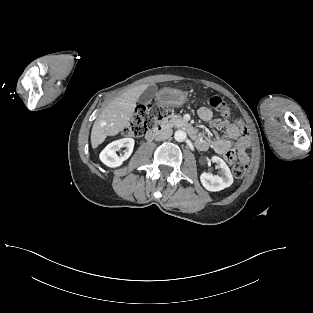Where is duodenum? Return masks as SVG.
<instances>
[{
	"label": "duodenum",
	"mask_w": 313,
	"mask_h": 313,
	"mask_svg": "<svg viewBox=\"0 0 313 313\" xmlns=\"http://www.w3.org/2000/svg\"><path fill=\"white\" fill-rule=\"evenodd\" d=\"M177 124L180 128L185 130L192 138H194L195 140L197 139L198 135L196 129L191 124L185 121H178ZM167 129V123H160L146 135V138L148 140H153L157 137H160Z\"/></svg>",
	"instance_id": "duodenum-1"
}]
</instances>
